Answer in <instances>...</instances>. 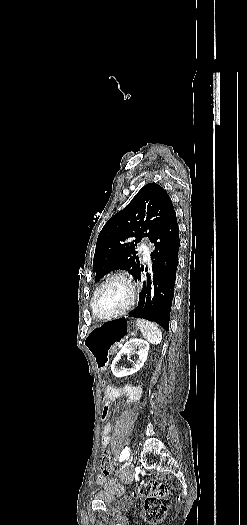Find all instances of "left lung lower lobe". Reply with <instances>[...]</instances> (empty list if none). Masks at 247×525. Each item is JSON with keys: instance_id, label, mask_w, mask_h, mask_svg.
<instances>
[{"instance_id": "1", "label": "left lung lower lobe", "mask_w": 247, "mask_h": 525, "mask_svg": "<svg viewBox=\"0 0 247 525\" xmlns=\"http://www.w3.org/2000/svg\"><path fill=\"white\" fill-rule=\"evenodd\" d=\"M150 241L155 246L151 253L152 269L150 272L145 269L148 280L139 294L137 308L129 316L154 321L168 331L180 247L175 212L155 231ZM141 271L143 267L135 280L140 279Z\"/></svg>"}]
</instances>
